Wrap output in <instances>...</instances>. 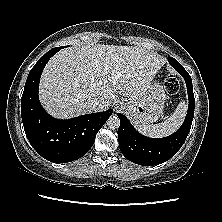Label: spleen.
I'll return each instance as SVG.
<instances>
[{
	"instance_id": "spleen-1",
	"label": "spleen",
	"mask_w": 222,
	"mask_h": 222,
	"mask_svg": "<svg viewBox=\"0 0 222 222\" xmlns=\"http://www.w3.org/2000/svg\"><path fill=\"white\" fill-rule=\"evenodd\" d=\"M187 111V104L181 101L174 113L169 116L164 122L152 125H140L137 129L140 133L152 137L162 138L172 134L182 124Z\"/></svg>"
}]
</instances>
